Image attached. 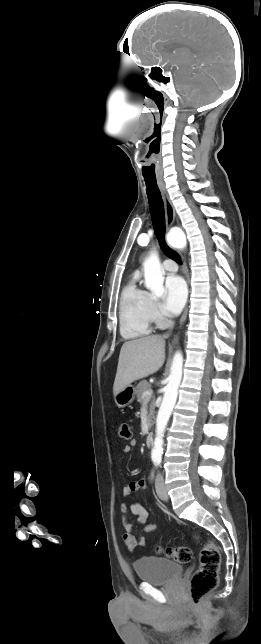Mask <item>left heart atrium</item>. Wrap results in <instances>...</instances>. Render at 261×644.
Segmentation results:
<instances>
[{"label":"left heart atrium","mask_w":261,"mask_h":644,"mask_svg":"<svg viewBox=\"0 0 261 644\" xmlns=\"http://www.w3.org/2000/svg\"><path fill=\"white\" fill-rule=\"evenodd\" d=\"M187 298L184 280L177 275L169 276L165 281L163 309L168 315H177L182 310Z\"/></svg>","instance_id":"1"}]
</instances>
